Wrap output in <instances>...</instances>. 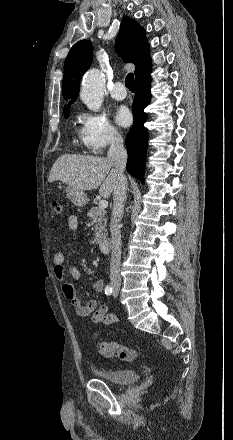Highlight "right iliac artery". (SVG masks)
I'll list each match as a JSON object with an SVG mask.
<instances>
[{
	"instance_id": "obj_1",
	"label": "right iliac artery",
	"mask_w": 233,
	"mask_h": 440,
	"mask_svg": "<svg viewBox=\"0 0 233 440\" xmlns=\"http://www.w3.org/2000/svg\"><path fill=\"white\" fill-rule=\"evenodd\" d=\"M112 292H113L112 287L110 285H107L105 287V294L110 296L112 294Z\"/></svg>"
}]
</instances>
